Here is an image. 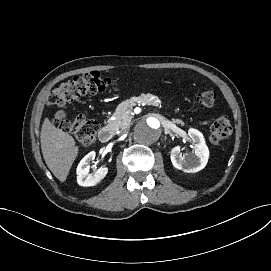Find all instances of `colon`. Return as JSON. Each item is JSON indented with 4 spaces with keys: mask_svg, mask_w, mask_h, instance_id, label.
Masks as SVG:
<instances>
[{
    "mask_svg": "<svg viewBox=\"0 0 271 271\" xmlns=\"http://www.w3.org/2000/svg\"><path fill=\"white\" fill-rule=\"evenodd\" d=\"M119 80L111 79L97 71L75 76L61 83L48 97V104L63 107L66 104L78 100L86 94H96L104 91L108 86L118 83ZM216 100L213 90H205L196 95L197 103L202 107H210ZM54 124L62 131L75 135L83 148L90 147L95 140L98 123L78 115L69 119H56ZM232 135V126L226 116H219L214 120L210 128V138L214 143L228 140Z\"/></svg>",
    "mask_w": 271,
    "mask_h": 271,
    "instance_id": "1",
    "label": "colon"
}]
</instances>
